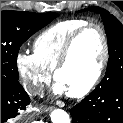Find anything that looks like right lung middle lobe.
Wrapping results in <instances>:
<instances>
[{
    "label": "right lung middle lobe",
    "instance_id": "1",
    "mask_svg": "<svg viewBox=\"0 0 123 123\" xmlns=\"http://www.w3.org/2000/svg\"><path fill=\"white\" fill-rule=\"evenodd\" d=\"M58 17L57 13L37 14L1 11V83L17 84V56L20 46L35 32Z\"/></svg>",
    "mask_w": 123,
    "mask_h": 123
}]
</instances>
